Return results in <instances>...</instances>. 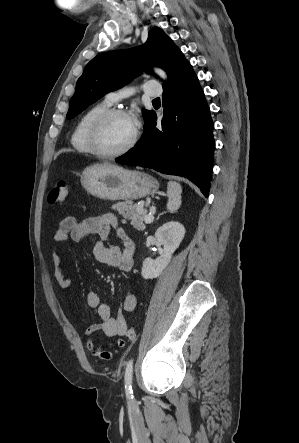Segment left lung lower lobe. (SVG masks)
Masks as SVG:
<instances>
[{
  "mask_svg": "<svg viewBox=\"0 0 299 443\" xmlns=\"http://www.w3.org/2000/svg\"><path fill=\"white\" fill-rule=\"evenodd\" d=\"M163 107L162 127L156 128L157 116L153 112L145 121L136 146L115 161L186 177L208 197L215 148L214 125L191 65L163 85Z\"/></svg>",
  "mask_w": 299,
  "mask_h": 443,
  "instance_id": "left-lung-lower-lobe-1",
  "label": "left lung lower lobe"
}]
</instances>
